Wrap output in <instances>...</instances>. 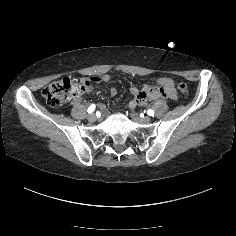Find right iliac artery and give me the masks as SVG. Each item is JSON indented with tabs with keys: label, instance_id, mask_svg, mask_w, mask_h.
<instances>
[{
	"label": "right iliac artery",
	"instance_id": "1",
	"mask_svg": "<svg viewBox=\"0 0 236 236\" xmlns=\"http://www.w3.org/2000/svg\"><path fill=\"white\" fill-rule=\"evenodd\" d=\"M95 104H92L89 108H88V110H87V112L90 114V113H92L94 110H95Z\"/></svg>",
	"mask_w": 236,
	"mask_h": 236
}]
</instances>
